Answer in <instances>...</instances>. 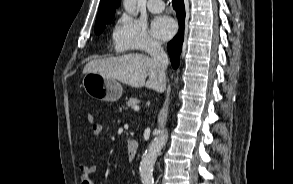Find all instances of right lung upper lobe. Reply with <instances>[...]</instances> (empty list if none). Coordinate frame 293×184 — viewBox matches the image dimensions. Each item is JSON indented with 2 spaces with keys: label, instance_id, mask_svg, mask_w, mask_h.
<instances>
[{
  "label": "right lung upper lobe",
  "instance_id": "cb5924a9",
  "mask_svg": "<svg viewBox=\"0 0 293 184\" xmlns=\"http://www.w3.org/2000/svg\"><path fill=\"white\" fill-rule=\"evenodd\" d=\"M120 1L121 0H101L95 26L110 22L114 17L116 8L120 5Z\"/></svg>",
  "mask_w": 293,
  "mask_h": 184
}]
</instances>
